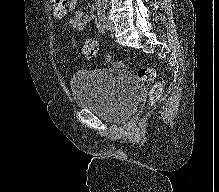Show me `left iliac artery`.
<instances>
[{
  "label": "left iliac artery",
  "mask_w": 219,
  "mask_h": 192,
  "mask_svg": "<svg viewBox=\"0 0 219 192\" xmlns=\"http://www.w3.org/2000/svg\"><path fill=\"white\" fill-rule=\"evenodd\" d=\"M98 18L102 26L105 28V6L102 5L98 8Z\"/></svg>",
  "instance_id": "44dca946"
}]
</instances>
